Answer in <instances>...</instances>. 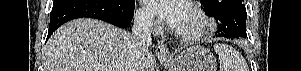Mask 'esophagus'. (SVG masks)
I'll return each instance as SVG.
<instances>
[{
    "mask_svg": "<svg viewBox=\"0 0 301 71\" xmlns=\"http://www.w3.org/2000/svg\"><path fill=\"white\" fill-rule=\"evenodd\" d=\"M155 53L160 59H168L171 57L170 51L163 42H158L155 47Z\"/></svg>",
    "mask_w": 301,
    "mask_h": 71,
    "instance_id": "obj_1",
    "label": "esophagus"
}]
</instances>
